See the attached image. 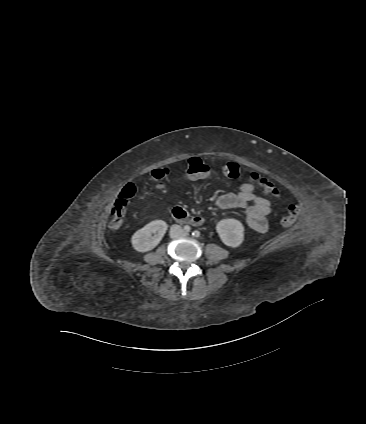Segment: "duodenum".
<instances>
[{"instance_id": "duodenum-1", "label": "duodenum", "mask_w": 366, "mask_h": 424, "mask_svg": "<svg viewBox=\"0 0 366 424\" xmlns=\"http://www.w3.org/2000/svg\"><path fill=\"white\" fill-rule=\"evenodd\" d=\"M172 217L180 223H192L194 225L203 224V219L200 216L190 215L186 210L181 207H172L170 209Z\"/></svg>"}]
</instances>
